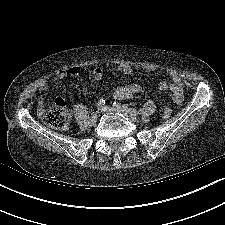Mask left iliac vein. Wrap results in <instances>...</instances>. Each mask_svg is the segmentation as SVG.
Segmentation results:
<instances>
[{
	"instance_id": "1",
	"label": "left iliac vein",
	"mask_w": 225,
	"mask_h": 225,
	"mask_svg": "<svg viewBox=\"0 0 225 225\" xmlns=\"http://www.w3.org/2000/svg\"><path fill=\"white\" fill-rule=\"evenodd\" d=\"M102 112H119V113H122L124 114L125 116L131 118L132 120H136V115L131 113L130 111H128L127 109L125 108H122V107H110V106H105L101 109Z\"/></svg>"
}]
</instances>
